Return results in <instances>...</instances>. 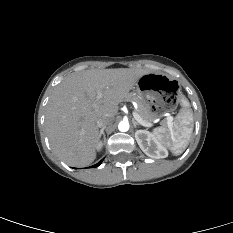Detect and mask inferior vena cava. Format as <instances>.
Returning a JSON list of instances; mask_svg holds the SVG:
<instances>
[{
    "label": "inferior vena cava",
    "mask_w": 233,
    "mask_h": 233,
    "mask_svg": "<svg viewBox=\"0 0 233 233\" xmlns=\"http://www.w3.org/2000/svg\"><path fill=\"white\" fill-rule=\"evenodd\" d=\"M111 123H112V120L109 117H103L97 121L98 127L104 128V129L106 128V126L110 125Z\"/></svg>",
    "instance_id": "obj_1"
}]
</instances>
